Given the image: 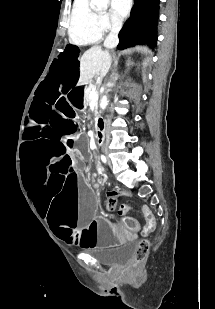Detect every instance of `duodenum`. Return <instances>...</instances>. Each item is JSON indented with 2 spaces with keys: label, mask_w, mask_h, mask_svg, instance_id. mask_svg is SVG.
Listing matches in <instances>:
<instances>
[{
  "label": "duodenum",
  "mask_w": 215,
  "mask_h": 309,
  "mask_svg": "<svg viewBox=\"0 0 215 309\" xmlns=\"http://www.w3.org/2000/svg\"><path fill=\"white\" fill-rule=\"evenodd\" d=\"M95 139L98 146L105 145L104 119L100 117L96 119ZM153 225L155 226V221H153Z\"/></svg>",
  "instance_id": "obj_1"
}]
</instances>
